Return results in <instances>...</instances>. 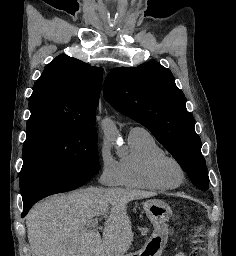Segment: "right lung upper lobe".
<instances>
[{"label":"right lung upper lobe","mask_w":236,"mask_h":256,"mask_svg":"<svg viewBox=\"0 0 236 256\" xmlns=\"http://www.w3.org/2000/svg\"><path fill=\"white\" fill-rule=\"evenodd\" d=\"M103 71L60 55L50 62L33 86L27 123L54 121L95 125Z\"/></svg>","instance_id":"right-lung-upper-lobe-1"}]
</instances>
